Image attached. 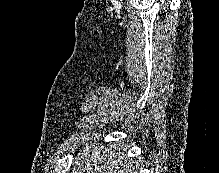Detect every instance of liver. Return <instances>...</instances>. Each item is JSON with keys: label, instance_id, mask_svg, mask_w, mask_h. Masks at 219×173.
Returning <instances> with one entry per match:
<instances>
[{"label": "liver", "instance_id": "obj_1", "mask_svg": "<svg viewBox=\"0 0 219 173\" xmlns=\"http://www.w3.org/2000/svg\"><path fill=\"white\" fill-rule=\"evenodd\" d=\"M78 173H137L124 155L116 152L114 146L86 144L83 152L78 153Z\"/></svg>", "mask_w": 219, "mask_h": 173}]
</instances>
